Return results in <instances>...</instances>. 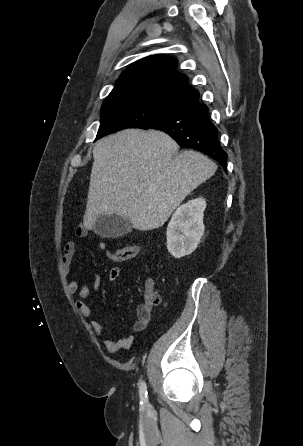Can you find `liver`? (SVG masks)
Masks as SVG:
<instances>
[{
    "label": "liver",
    "mask_w": 303,
    "mask_h": 446,
    "mask_svg": "<svg viewBox=\"0 0 303 446\" xmlns=\"http://www.w3.org/2000/svg\"><path fill=\"white\" fill-rule=\"evenodd\" d=\"M167 134L126 129L95 145L83 224L91 230L102 215H119L141 231L161 227L185 197L217 170L201 153L176 154Z\"/></svg>",
    "instance_id": "6515ba94"
}]
</instances>
